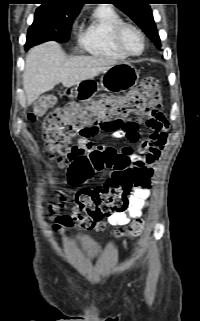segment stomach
I'll return each instance as SVG.
<instances>
[{
	"label": "stomach",
	"instance_id": "stomach-1",
	"mask_svg": "<svg viewBox=\"0 0 200 321\" xmlns=\"http://www.w3.org/2000/svg\"><path fill=\"white\" fill-rule=\"evenodd\" d=\"M139 80L137 69L130 63H117L102 72L100 83L88 79L77 85L68 87L65 95L76 99H88L97 91L103 89L108 92L124 91L134 87Z\"/></svg>",
	"mask_w": 200,
	"mask_h": 321
}]
</instances>
